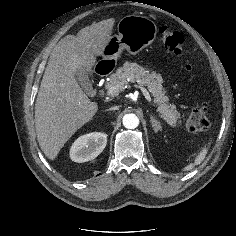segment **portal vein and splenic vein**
<instances>
[{"label": "portal vein and splenic vein", "mask_w": 236, "mask_h": 236, "mask_svg": "<svg viewBox=\"0 0 236 236\" xmlns=\"http://www.w3.org/2000/svg\"><path fill=\"white\" fill-rule=\"evenodd\" d=\"M135 86L141 90V92L143 93V95L145 96L147 101L150 103V105H152V103H151L152 99H151L149 92L144 87H141L138 85H135ZM120 87H121L120 85H115V86L110 87L107 90V94L109 96H116L119 93Z\"/></svg>", "instance_id": "18ae733b"}]
</instances>
